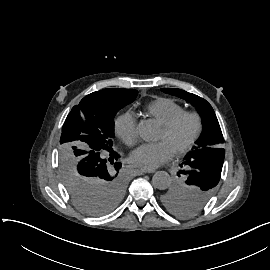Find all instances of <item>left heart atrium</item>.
Segmentation results:
<instances>
[{
    "mask_svg": "<svg viewBox=\"0 0 270 270\" xmlns=\"http://www.w3.org/2000/svg\"><path fill=\"white\" fill-rule=\"evenodd\" d=\"M174 152V145L169 141L144 144L133 152L131 159L141 169L153 170L169 160Z\"/></svg>",
    "mask_w": 270,
    "mask_h": 270,
    "instance_id": "1",
    "label": "left heart atrium"
}]
</instances>
